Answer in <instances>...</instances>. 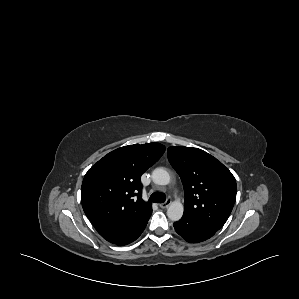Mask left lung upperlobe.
<instances>
[{"instance_id":"obj_1","label":"left lung upper lobe","mask_w":299,"mask_h":299,"mask_svg":"<svg viewBox=\"0 0 299 299\" xmlns=\"http://www.w3.org/2000/svg\"><path fill=\"white\" fill-rule=\"evenodd\" d=\"M167 155L184 186L183 216L218 231L236 200V181L232 173L198 148L169 147Z\"/></svg>"}]
</instances>
